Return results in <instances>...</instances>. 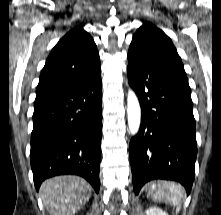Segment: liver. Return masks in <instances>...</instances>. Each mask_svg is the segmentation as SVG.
<instances>
[{
	"mask_svg": "<svg viewBox=\"0 0 221 215\" xmlns=\"http://www.w3.org/2000/svg\"><path fill=\"white\" fill-rule=\"evenodd\" d=\"M40 194L50 215H74L89 201L91 186L78 176H56L42 183Z\"/></svg>",
	"mask_w": 221,
	"mask_h": 215,
	"instance_id": "obj_1",
	"label": "liver"
}]
</instances>
